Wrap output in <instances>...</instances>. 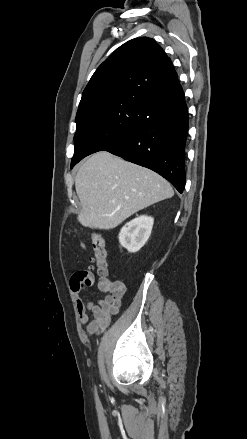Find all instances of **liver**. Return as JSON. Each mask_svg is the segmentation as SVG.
Masks as SVG:
<instances>
[{"instance_id":"obj_1","label":"liver","mask_w":247,"mask_h":439,"mask_svg":"<svg viewBox=\"0 0 247 439\" xmlns=\"http://www.w3.org/2000/svg\"><path fill=\"white\" fill-rule=\"evenodd\" d=\"M75 188L81 203L78 220L92 229L109 230L174 191L163 177L106 151L89 157L77 172Z\"/></svg>"}]
</instances>
